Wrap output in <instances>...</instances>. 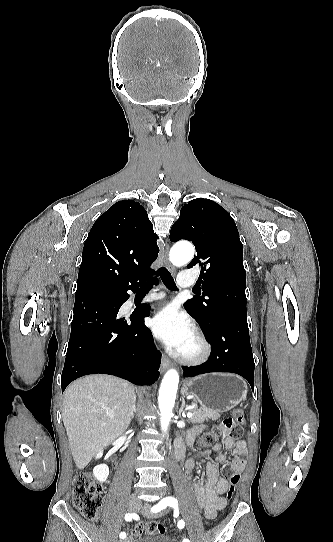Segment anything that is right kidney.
Returning a JSON list of instances; mask_svg holds the SVG:
<instances>
[{"label":"right kidney","instance_id":"1","mask_svg":"<svg viewBox=\"0 0 333 542\" xmlns=\"http://www.w3.org/2000/svg\"><path fill=\"white\" fill-rule=\"evenodd\" d=\"M103 456V450H99L98 454H96L95 458L98 460V458H102ZM93 476L98 480V482H106L108 476H109V468L106 466V464H100V466H95L93 470Z\"/></svg>","mask_w":333,"mask_h":542}]
</instances>
